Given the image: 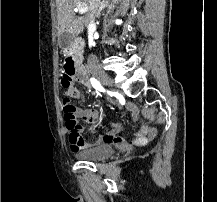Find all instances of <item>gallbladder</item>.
Listing matches in <instances>:
<instances>
[{
  "label": "gallbladder",
  "mask_w": 217,
  "mask_h": 202,
  "mask_svg": "<svg viewBox=\"0 0 217 202\" xmlns=\"http://www.w3.org/2000/svg\"><path fill=\"white\" fill-rule=\"evenodd\" d=\"M73 34H68V32H64V34H60L59 38H58V42L60 44V46H62V49L65 51L69 44L73 43Z\"/></svg>",
  "instance_id": "obj_1"
}]
</instances>
